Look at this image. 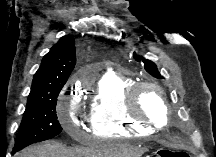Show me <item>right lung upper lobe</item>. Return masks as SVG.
Returning a JSON list of instances; mask_svg holds the SVG:
<instances>
[{
	"label": "right lung upper lobe",
	"mask_w": 216,
	"mask_h": 157,
	"mask_svg": "<svg viewBox=\"0 0 216 157\" xmlns=\"http://www.w3.org/2000/svg\"><path fill=\"white\" fill-rule=\"evenodd\" d=\"M76 63L75 40L63 36L42 60L34 75L28 100L44 97L62 89Z\"/></svg>",
	"instance_id": "1"
}]
</instances>
